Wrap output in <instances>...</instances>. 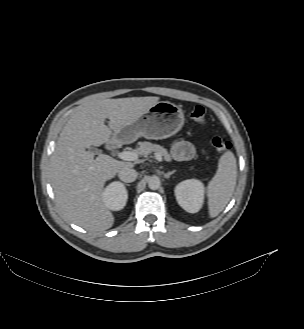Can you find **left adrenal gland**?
Wrapping results in <instances>:
<instances>
[{
	"label": "left adrenal gland",
	"mask_w": 304,
	"mask_h": 329,
	"mask_svg": "<svg viewBox=\"0 0 304 329\" xmlns=\"http://www.w3.org/2000/svg\"><path fill=\"white\" fill-rule=\"evenodd\" d=\"M174 173H175V170L170 171V172H168V173H165V174H164V177H165L166 179H168V178L170 177V175H172V174H174Z\"/></svg>",
	"instance_id": "obj_1"
}]
</instances>
